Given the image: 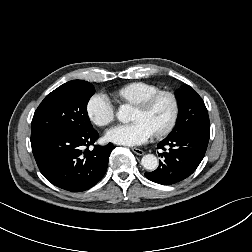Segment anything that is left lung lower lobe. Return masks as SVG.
I'll use <instances>...</instances> for the list:
<instances>
[{
    "label": "left lung lower lobe",
    "mask_w": 252,
    "mask_h": 252,
    "mask_svg": "<svg viewBox=\"0 0 252 252\" xmlns=\"http://www.w3.org/2000/svg\"><path fill=\"white\" fill-rule=\"evenodd\" d=\"M210 136L208 129H191L172 137H166L157 148L168 152L161 154L163 161H159V167L145 176L156 183L171 185L189 177L202 161Z\"/></svg>",
    "instance_id": "obj_1"
}]
</instances>
